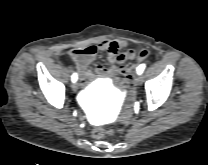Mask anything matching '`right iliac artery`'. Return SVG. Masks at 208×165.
Listing matches in <instances>:
<instances>
[{
	"instance_id": "obj_1",
	"label": "right iliac artery",
	"mask_w": 208,
	"mask_h": 165,
	"mask_svg": "<svg viewBox=\"0 0 208 165\" xmlns=\"http://www.w3.org/2000/svg\"><path fill=\"white\" fill-rule=\"evenodd\" d=\"M77 74L76 73H74L73 75H72V77H71V80H72V82H76L77 81Z\"/></svg>"
}]
</instances>
